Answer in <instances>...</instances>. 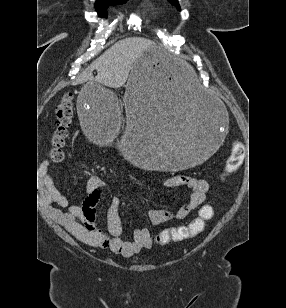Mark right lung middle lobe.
<instances>
[{
    "mask_svg": "<svg viewBox=\"0 0 286 308\" xmlns=\"http://www.w3.org/2000/svg\"><path fill=\"white\" fill-rule=\"evenodd\" d=\"M127 0H124V1H116V2H111V3H108V4H103V5H96V10L99 11V15L100 16H107V11L105 10L108 5H117V4H123L125 3Z\"/></svg>",
    "mask_w": 286,
    "mask_h": 308,
    "instance_id": "1",
    "label": "right lung middle lobe"
}]
</instances>
